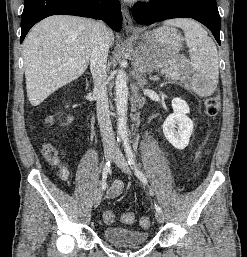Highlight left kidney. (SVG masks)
Here are the masks:
<instances>
[{
	"label": "left kidney",
	"instance_id": "left-kidney-1",
	"mask_svg": "<svg viewBox=\"0 0 247 257\" xmlns=\"http://www.w3.org/2000/svg\"><path fill=\"white\" fill-rule=\"evenodd\" d=\"M171 104L174 112L164 121L163 133L176 149L183 150L188 146L194 128L192 120L187 117L190 109L180 98H174Z\"/></svg>",
	"mask_w": 247,
	"mask_h": 257
}]
</instances>
